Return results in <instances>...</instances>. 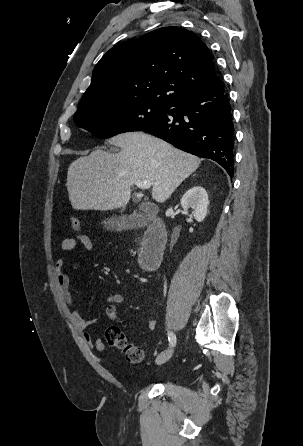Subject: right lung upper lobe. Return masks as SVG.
I'll return each mask as SVG.
<instances>
[{
    "mask_svg": "<svg viewBox=\"0 0 303 446\" xmlns=\"http://www.w3.org/2000/svg\"><path fill=\"white\" fill-rule=\"evenodd\" d=\"M219 81L214 57L197 35L163 27L110 49L96 64L76 113L131 101L172 106Z\"/></svg>",
    "mask_w": 303,
    "mask_h": 446,
    "instance_id": "right-lung-upper-lobe-1",
    "label": "right lung upper lobe"
}]
</instances>
